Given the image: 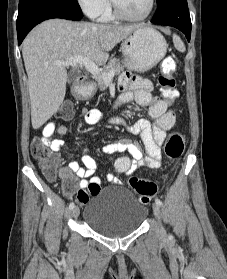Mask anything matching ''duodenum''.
I'll use <instances>...</instances> for the list:
<instances>
[{"label": "duodenum", "instance_id": "obj_1", "mask_svg": "<svg viewBox=\"0 0 227 279\" xmlns=\"http://www.w3.org/2000/svg\"><path fill=\"white\" fill-rule=\"evenodd\" d=\"M85 79L83 77L78 78L76 84L73 87V95L76 99L85 100L86 96L84 95L85 91Z\"/></svg>", "mask_w": 227, "mask_h": 279}]
</instances>
